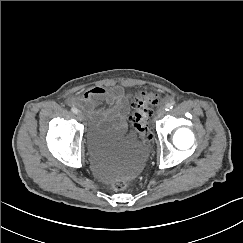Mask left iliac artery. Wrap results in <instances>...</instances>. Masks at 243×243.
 <instances>
[{"instance_id":"left-iliac-artery-1","label":"left iliac artery","mask_w":243,"mask_h":243,"mask_svg":"<svg viewBox=\"0 0 243 243\" xmlns=\"http://www.w3.org/2000/svg\"><path fill=\"white\" fill-rule=\"evenodd\" d=\"M173 108V103H168V104H166V106H165V110L166 111H169V110H171Z\"/></svg>"}]
</instances>
